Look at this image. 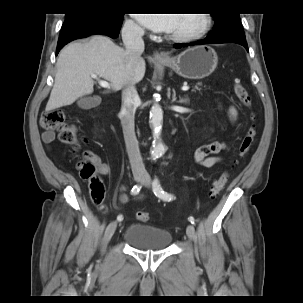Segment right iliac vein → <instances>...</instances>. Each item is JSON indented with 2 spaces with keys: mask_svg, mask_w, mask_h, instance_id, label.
<instances>
[{
  "mask_svg": "<svg viewBox=\"0 0 303 303\" xmlns=\"http://www.w3.org/2000/svg\"><path fill=\"white\" fill-rule=\"evenodd\" d=\"M143 175L142 174H134V180L139 182L143 179ZM117 228V222L113 221L111 222L104 233V237H103V250L106 247V245L108 244V242L111 240L112 236L114 235L115 231Z\"/></svg>",
  "mask_w": 303,
  "mask_h": 303,
  "instance_id": "63e3f726",
  "label": "right iliac vein"
}]
</instances>
